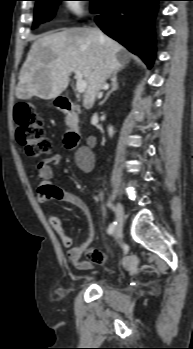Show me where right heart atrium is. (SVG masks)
Instances as JSON below:
<instances>
[{"instance_id": "obj_1", "label": "right heart atrium", "mask_w": 193, "mask_h": 349, "mask_svg": "<svg viewBox=\"0 0 193 349\" xmlns=\"http://www.w3.org/2000/svg\"><path fill=\"white\" fill-rule=\"evenodd\" d=\"M65 9L71 16H81L84 12V5L80 0H67L65 1Z\"/></svg>"}]
</instances>
